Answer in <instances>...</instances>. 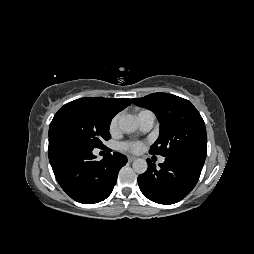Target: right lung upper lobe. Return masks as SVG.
<instances>
[{
  "label": "right lung upper lobe",
  "instance_id": "obj_1",
  "mask_svg": "<svg viewBox=\"0 0 254 254\" xmlns=\"http://www.w3.org/2000/svg\"><path fill=\"white\" fill-rule=\"evenodd\" d=\"M81 99L101 104L113 117L132 103V101L128 98L112 99L103 97H86Z\"/></svg>",
  "mask_w": 254,
  "mask_h": 254
}]
</instances>
